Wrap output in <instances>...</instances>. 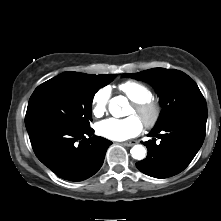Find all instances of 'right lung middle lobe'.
Returning <instances> with one entry per match:
<instances>
[{"instance_id": "1", "label": "right lung middle lobe", "mask_w": 221, "mask_h": 221, "mask_svg": "<svg viewBox=\"0 0 221 221\" xmlns=\"http://www.w3.org/2000/svg\"><path fill=\"white\" fill-rule=\"evenodd\" d=\"M116 76L98 78L69 71L44 82L30 97L25 125L55 122L77 130L90 129L93 97Z\"/></svg>"}]
</instances>
